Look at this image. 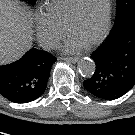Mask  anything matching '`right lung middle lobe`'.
Here are the masks:
<instances>
[{
    "label": "right lung middle lobe",
    "mask_w": 135,
    "mask_h": 135,
    "mask_svg": "<svg viewBox=\"0 0 135 135\" xmlns=\"http://www.w3.org/2000/svg\"><path fill=\"white\" fill-rule=\"evenodd\" d=\"M24 1H28L29 3H31V5H34L36 3V0H24Z\"/></svg>",
    "instance_id": "obj_1"
}]
</instances>
